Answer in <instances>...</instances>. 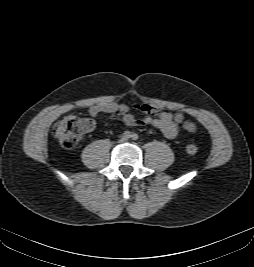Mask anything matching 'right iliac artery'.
Wrapping results in <instances>:
<instances>
[{"label": "right iliac artery", "mask_w": 254, "mask_h": 267, "mask_svg": "<svg viewBox=\"0 0 254 267\" xmlns=\"http://www.w3.org/2000/svg\"><path fill=\"white\" fill-rule=\"evenodd\" d=\"M123 135H124L125 138H130V137H132V134H131L130 131H125Z\"/></svg>", "instance_id": "obj_1"}]
</instances>
